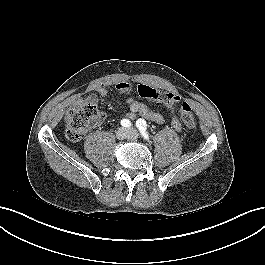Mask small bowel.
I'll return each mask as SVG.
<instances>
[{"mask_svg":"<svg viewBox=\"0 0 265 265\" xmlns=\"http://www.w3.org/2000/svg\"><path fill=\"white\" fill-rule=\"evenodd\" d=\"M116 89L120 94H123L126 97V101L129 106V110L127 112V117L129 119H135L137 116H140L143 119L156 123V124H162L164 122V116L162 114L150 110L144 103L135 100L130 95L129 84L119 83L116 86ZM165 93H173V92L166 91ZM108 95H109L108 90L106 88L101 87L97 90V94H92L88 96L86 98V102L97 104L99 101L98 97L105 98ZM158 102L162 103L168 109L169 113L171 114V119H172L171 123H172L173 128L177 131H181L182 125L176 115V102L175 101H170V102L158 101Z\"/></svg>","mask_w":265,"mask_h":265,"instance_id":"small-bowel-1","label":"small bowel"}]
</instances>
